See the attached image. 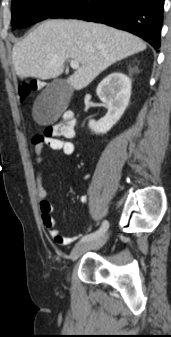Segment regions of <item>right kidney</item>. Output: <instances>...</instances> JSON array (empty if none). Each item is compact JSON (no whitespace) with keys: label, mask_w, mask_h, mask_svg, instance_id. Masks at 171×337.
<instances>
[{"label":"right kidney","mask_w":171,"mask_h":337,"mask_svg":"<svg viewBox=\"0 0 171 337\" xmlns=\"http://www.w3.org/2000/svg\"><path fill=\"white\" fill-rule=\"evenodd\" d=\"M99 99L107 105V114L99 121L90 120L89 128L96 134L107 133L121 118L131 96V80L114 72L101 81L96 90Z\"/></svg>","instance_id":"right-kidney-1"}]
</instances>
